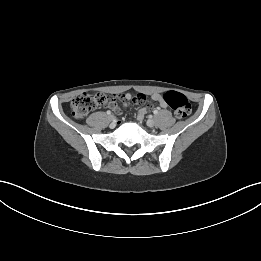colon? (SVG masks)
Wrapping results in <instances>:
<instances>
[{"label":"colon","mask_w":261,"mask_h":261,"mask_svg":"<svg viewBox=\"0 0 261 261\" xmlns=\"http://www.w3.org/2000/svg\"><path fill=\"white\" fill-rule=\"evenodd\" d=\"M120 97L121 96H119V98ZM162 97L168 106L174 111L177 118L184 119L190 115L191 105L182 93L167 91L162 94ZM107 100L108 97L103 93H83L77 95L71 101L72 115L77 119H81L94 110L97 106L104 104ZM137 105L142 106L141 104Z\"/></svg>","instance_id":"colon-1"}]
</instances>
